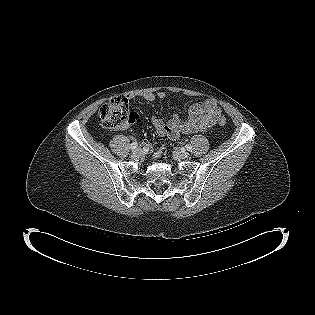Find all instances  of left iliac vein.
<instances>
[{"instance_id":"1","label":"left iliac vein","mask_w":315,"mask_h":315,"mask_svg":"<svg viewBox=\"0 0 315 315\" xmlns=\"http://www.w3.org/2000/svg\"><path fill=\"white\" fill-rule=\"evenodd\" d=\"M175 155L176 157L180 159H188L190 157V154L186 151H181V150H175Z\"/></svg>"}]
</instances>
